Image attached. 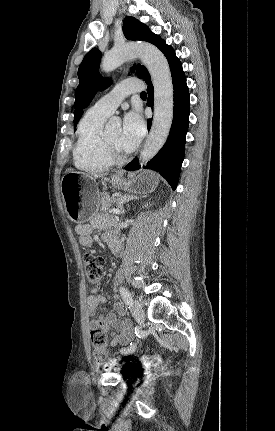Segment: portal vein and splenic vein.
Returning a JSON list of instances; mask_svg holds the SVG:
<instances>
[{
	"instance_id": "obj_1",
	"label": "portal vein and splenic vein",
	"mask_w": 275,
	"mask_h": 431,
	"mask_svg": "<svg viewBox=\"0 0 275 431\" xmlns=\"http://www.w3.org/2000/svg\"><path fill=\"white\" fill-rule=\"evenodd\" d=\"M109 212L112 213V214H120V210L115 209V208L110 209Z\"/></svg>"
}]
</instances>
